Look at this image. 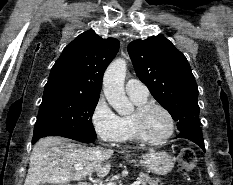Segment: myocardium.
Instances as JSON below:
<instances>
[{"instance_id":"f54148a6","label":"myocardium","mask_w":233,"mask_h":185,"mask_svg":"<svg viewBox=\"0 0 233 185\" xmlns=\"http://www.w3.org/2000/svg\"><path fill=\"white\" fill-rule=\"evenodd\" d=\"M152 108L161 110L169 120V131L164 137L160 139H150L145 135L143 131L142 118L145 115V113ZM130 121L136 139L148 145H159L166 142L174 135L176 128L175 119L172 113L165 106L156 102H144L143 104L137 105L134 113L130 116Z\"/></svg>"}]
</instances>
